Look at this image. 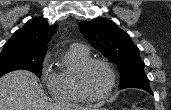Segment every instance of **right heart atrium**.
<instances>
[{
  "label": "right heart atrium",
  "mask_w": 171,
  "mask_h": 110,
  "mask_svg": "<svg viewBox=\"0 0 171 110\" xmlns=\"http://www.w3.org/2000/svg\"><path fill=\"white\" fill-rule=\"evenodd\" d=\"M47 61H48V60H47V58H46V60H45V62H44V68H43V78H44L46 81H49V80L52 78L53 74H51V73L49 72Z\"/></svg>",
  "instance_id": "1"
}]
</instances>
